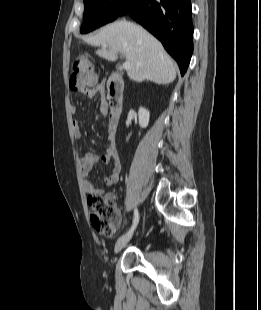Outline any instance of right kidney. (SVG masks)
<instances>
[{
    "instance_id": "obj_1",
    "label": "right kidney",
    "mask_w": 261,
    "mask_h": 310,
    "mask_svg": "<svg viewBox=\"0 0 261 310\" xmlns=\"http://www.w3.org/2000/svg\"><path fill=\"white\" fill-rule=\"evenodd\" d=\"M139 125L141 128H146L149 123L150 113L147 109L140 107L138 111Z\"/></svg>"
}]
</instances>
